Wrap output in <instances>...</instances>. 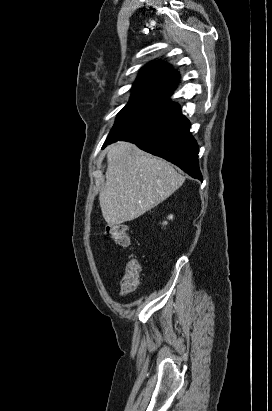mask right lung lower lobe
I'll list each match as a JSON object with an SVG mask.
<instances>
[{
	"instance_id": "1",
	"label": "right lung lower lobe",
	"mask_w": 272,
	"mask_h": 411,
	"mask_svg": "<svg viewBox=\"0 0 272 411\" xmlns=\"http://www.w3.org/2000/svg\"><path fill=\"white\" fill-rule=\"evenodd\" d=\"M189 129V120L178 110L125 137H108L103 147L118 140L135 143L142 150L172 162L191 177L201 180L198 146Z\"/></svg>"
}]
</instances>
